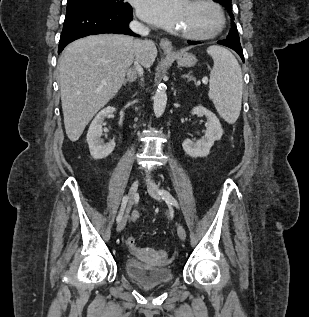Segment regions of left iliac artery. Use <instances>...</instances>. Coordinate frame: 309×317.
<instances>
[{
    "mask_svg": "<svg viewBox=\"0 0 309 317\" xmlns=\"http://www.w3.org/2000/svg\"><path fill=\"white\" fill-rule=\"evenodd\" d=\"M159 193L167 204H171L175 206L176 208H179V204L177 200L170 194V192H168L165 189H161Z\"/></svg>",
    "mask_w": 309,
    "mask_h": 317,
    "instance_id": "44dca946",
    "label": "left iliac artery"
}]
</instances>
